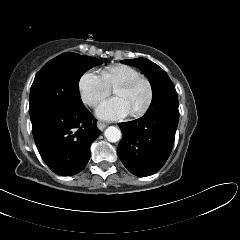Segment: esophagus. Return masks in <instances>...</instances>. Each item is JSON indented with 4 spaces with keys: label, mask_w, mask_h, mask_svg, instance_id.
I'll return each instance as SVG.
<instances>
[{
    "label": "esophagus",
    "mask_w": 240,
    "mask_h": 240,
    "mask_svg": "<svg viewBox=\"0 0 240 240\" xmlns=\"http://www.w3.org/2000/svg\"><path fill=\"white\" fill-rule=\"evenodd\" d=\"M107 126H108V124L104 123V122H98L97 123L98 129L101 130V131H103Z\"/></svg>",
    "instance_id": "1"
}]
</instances>
